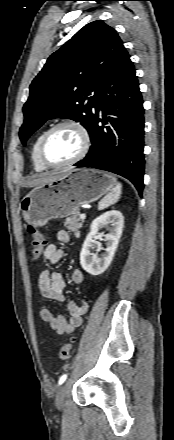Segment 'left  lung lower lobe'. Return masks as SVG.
<instances>
[{
	"label": "left lung lower lobe",
	"mask_w": 174,
	"mask_h": 440,
	"mask_svg": "<svg viewBox=\"0 0 174 440\" xmlns=\"http://www.w3.org/2000/svg\"><path fill=\"white\" fill-rule=\"evenodd\" d=\"M99 122L103 125L99 126ZM87 130L92 145L86 157L74 165L121 175L141 195L145 168L144 108L135 68L125 49L106 76Z\"/></svg>",
	"instance_id": "left-lung-lower-lobe-1"
}]
</instances>
